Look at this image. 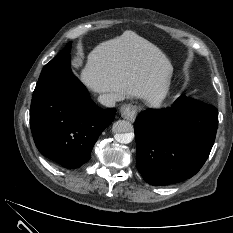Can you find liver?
<instances>
[{
    "mask_svg": "<svg viewBox=\"0 0 233 233\" xmlns=\"http://www.w3.org/2000/svg\"><path fill=\"white\" fill-rule=\"evenodd\" d=\"M172 71L170 60L156 45L125 31L89 53L80 80L96 93L135 97L157 105L168 92Z\"/></svg>",
    "mask_w": 233,
    "mask_h": 233,
    "instance_id": "6515ba94",
    "label": "liver"
}]
</instances>
